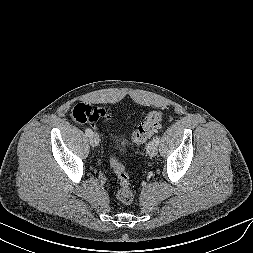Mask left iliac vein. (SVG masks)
<instances>
[{
    "mask_svg": "<svg viewBox=\"0 0 253 253\" xmlns=\"http://www.w3.org/2000/svg\"><path fill=\"white\" fill-rule=\"evenodd\" d=\"M158 153L157 145L152 141L147 146V154L150 157H155Z\"/></svg>",
    "mask_w": 253,
    "mask_h": 253,
    "instance_id": "4c4485c4",
    "label": "left iliac vein"
}]
</instances>
